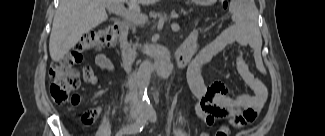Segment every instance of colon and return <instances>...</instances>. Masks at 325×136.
Listing matches in <instances>:
<instances>
[{
	"mask_svg": "<svg viewBox=\"0 0 325 136\" xmlns=\"http://www.w3.org/2000/svg\"><path fill=\"white\" fill-rule=\"evenodd\" d=\"M223 8H228V0H224ZM119 32L115 25H106L86 33L75 45L73 51L83 52L94 49L109 48L115 45ZM50 94L57 103L71 102L76 104L78 97L74 92L80 85V73L67 59H59L51 64L49 70ZM200 136H210L203 132Z\"/></svg>",
	"mask_w": 325,
	"mask_h": 136,
	"instance_id": "colon-1",
	"label": "colon"
}]
</instances>
